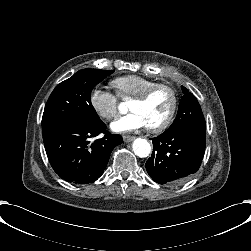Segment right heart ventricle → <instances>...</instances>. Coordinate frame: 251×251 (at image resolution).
I'll return each mask as SVG.
<instances>
[{"mask_svg": "<svg viewBox=\"0 0 251 251\" xmlns=\"http://www.w3.org/2000/svg\"><path fill=\"white\" fill-rule=\"evenodd\" d=\"M111 83L121 97H136L155 81L143 75L129 74L115 78Z\"/></svg>", "mask_w": 251, "mask_h": 251, "instance_id": "obj_1", "label": "right heart ventricle"}]
</instances>
